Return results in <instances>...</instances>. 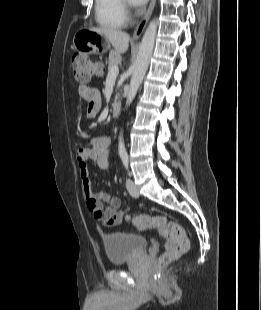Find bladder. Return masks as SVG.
<instances>
[{
  "label": "bladder",
  "mask_w": 261,
  "mask_h": 310,
  "mask_svg": "<svg viewBox=\"0 0 261 310\" xmlns=\"http://www.w3.org/2000/svg\"><path fill=\"white\" fill-rule=\"evenodd\" d=\"M147 245L148 241L144 236L134 233L117 231L104 237L106 255L114 265L134 259Z\"/></svg>",
  "instance_id": "bladder-1"
}]
</instances>
